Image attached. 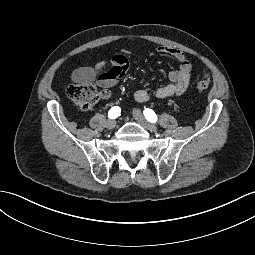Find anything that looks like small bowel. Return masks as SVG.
<instances>
[{"label":"small bowel","instance_id":"small-bowel-1","mask_svg":"<svg viewBox=\"0 0 255 255\" xmlns=\"http://www.w3.org/2000/svg\"><path fill=\"white\" fill-rule=\"evenodd\" d=\"M156 50L176 59L179 66L169 73V84L153 92L145 89L136 90L134 99L139 103H146L152 99L179 96L186 90L190 81L192 64L181 50L168 46H160ZM125 53L126 51L123 50L121 53L114 55L109 61L101 60L93 66H83L75 69L71 75L72 81L78 84L95 82L101 88L102 98H108L111 94L110 88L126 74L129 68V61Z\"/></svg>","mask_w":255,"mask_h":255}]
</instances>
